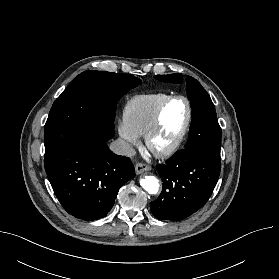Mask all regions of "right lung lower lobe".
I'll list each match as a JSON object with an SVG mask.
<instances>
[{
	"label": "right lung lower lobe",
	"instance_id": "98d812e1",
	"mask_svg": "<svg viewBox=\"0 0 279 279\" xmlns=\"http://www.w3.org/2000/svg\"><path fill=\"white\" fill-rule=\"evenodd\" d=\"M113 135V129L106 125H87L79 142L70 146L47 172L62 207L78 219L105 217L119 188L135 176L130 159L108 148L106 141Z\"/></svg>",
	"mask_w": 279,
	"mask_h": 279
}]
</instances>
